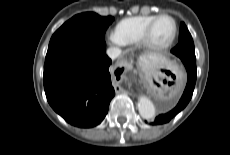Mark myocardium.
<instances>
[{
	"label": "myocardium",
	"instance_id": "myocardium-1",
	"mask_svg": "<svg viewBox=\"0 0 230 155\" xmlns=\"http://www.w3.org/2000/svg\"><path fill=\"white\" fill-rule=\"evenodd\" d=\"M162 18H169L170 20H172L174 28H173V33L170 37V39L163 43V44H156L151 40V33L153 30L154 25L156 24V22ZM177 32H178V25L177 22L175 20L174 17H172L169 14H160L157 15L145 28L144 33L141 37V44L144 46V48H146L149 51L152 52H161L164 51L166 49H168L169 47L172 46V44L174 43L176 36H177Z\"/></svg>",
	"mask_w": 230,
	"mask_h": 155
}]
</instances>
